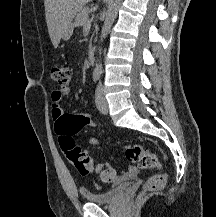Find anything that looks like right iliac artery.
Listing matches in <instances>:
<instances>
[{
	"mask_svg": "<svg viewBox=\"0 0 216 217\" xmlns=\"http://www.w3.org/2000/svg\"><path fill=\"white\" fill-rule=\"evenodd\" d=\"M99 80V75L98 74H94L93 75V81L97 82Z\"/></svg>",
	"mask_w": 216,
	"mask_h": 217,
	"instance_id": "right-iliac-artery-1",
	"label": "right iliac artery"
}]
</instances>
